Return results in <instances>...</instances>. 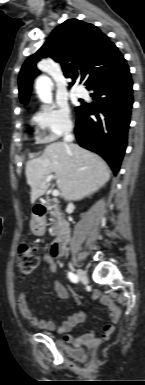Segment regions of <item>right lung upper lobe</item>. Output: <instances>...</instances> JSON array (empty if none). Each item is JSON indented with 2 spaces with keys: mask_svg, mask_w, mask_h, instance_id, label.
Instances as JSON below:
<instances>
[{
  "mask_svg": "<svg viewBox=\"0 0 145 385\" xmlns=\"http://www.w3.org/2000/svg\"><path fill=\"white\" fill-rule=\"evenodd\" d=\"M44 57L61 64L65 77L73 80L70 85L80 79L87 88L127 65L115 44L99 28L77 19L67 20L23 64L18 79L23 104L28 102L32 80L40 73L36 63Z\"/></svg>",
  "mask_w": 145,
  "mask_h": 385,
  "instance_id": "cb5924a9",
  "label": "right lung upper lobe"
}]
</instances>
